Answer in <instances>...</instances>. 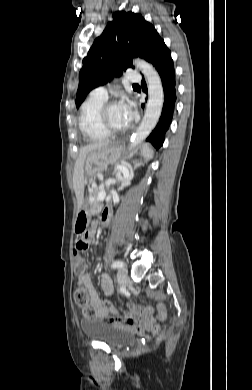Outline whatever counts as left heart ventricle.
Returning a JSON list of instances; mask_svg holds the SVG:
<instances>
[{"label": "left heart ventricle", "mask_w": 252, "mask_h": 390, "mask_svg": "<svg viewBox=\"0 0 252 390\" xmlns=\"http://www.w3.org/2000/svg\"><path fill=\"white\" fill-rule=\"evenodd\" d=\"M107 119L115 129H123L128 126L118 104L112 105L107 110Z\"/></svg>", "instance_id": "1"}]
</instances>
